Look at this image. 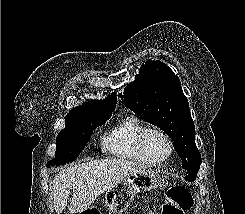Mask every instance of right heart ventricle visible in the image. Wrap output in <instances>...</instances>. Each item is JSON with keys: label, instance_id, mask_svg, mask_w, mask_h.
<instances>
[{"label": "right heart ventricle", "instance_id": "obj_1", "mask_svg": "<svg viewBox=\"0 0 245 214\" xmlns=\"http://www.w3.org/2000/svg\"><path fill=\"white\" fill-rule=\"evenodd\" d=\"M148 126L137 116L120 120L103 139V148L111 155L142 165H149L139 149V140Z\"/></svg>", "mask_w": 245, "mask_h": 214}]
</instances>
